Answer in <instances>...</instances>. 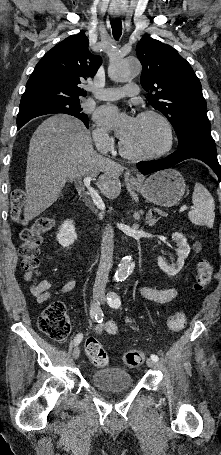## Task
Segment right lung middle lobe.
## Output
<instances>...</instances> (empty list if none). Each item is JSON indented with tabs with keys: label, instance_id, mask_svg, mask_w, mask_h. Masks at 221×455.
I'll list each match as a JSON object with an SVG mask.
<instances>
[{
	"label": "right lung middle lobe",
	"instance_id": "obj_1",
	"mask_svg": "<svg viewBox=\"0 0 221 455\" xmlns=\"http://www.w3.org/2000/svg\"><path fill=\"white\" fill-rule=\"evenodd\" d=\"M53 113H65L75 116L80 119L86 127H89L88 117L82 112L78 98L63 99L20 108L17 116V124L41 115Z\"/></svg>",
	"mask_w": 221,
	"mask_h": 455
}]
</instances>
